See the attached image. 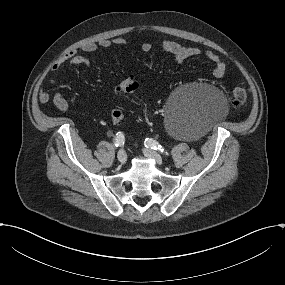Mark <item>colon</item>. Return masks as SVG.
<instances>
[{
  "instance_id": "colon-1",
  "label": "colon",
  "mask_w": 285,
  "mask_h": 285,
  "mask_svg": "<svg viewBox=\"0 0 285 285\" xmlns=\"http://www.w3.org/2000/svg\"><path fill=\"white\" fill-rule=\"evenodd\" d=\"M139 82L133 78L123 81L116 89L118 95L132 94L139 90ZM248 99L247 90L244 87H235L230 95V105L234 109H239L246 105ZM124 118L123 111L120 108H115L111 112V119L114 124H119Z\"/></svg>"
}]
</instances>
